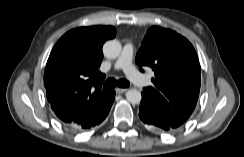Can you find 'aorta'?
Instances as JSON below:
<instances>
[{
    "label": "aorta",
    "mask_w": 244,
    "mask_h": 157,
    "mask_svg": "<svg viewBox=\"0 0 244 157\" xmlns=\"http://www.w3.org/2000/svg\"><path fill=\"white\" fill-rule=\"evenodd\" d=\"M122 50V46L117 40H109L103 46V54L110 59L117 58ZM127 100L132 104H139L141 101V92L137 89H130L126 93Z\"/></svg>",
    "instance_id": "obj_1"
}]
</instances>
